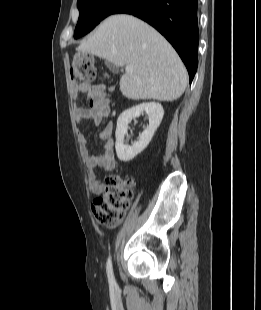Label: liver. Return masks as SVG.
<instances>
[{"mask_svg":"<svg viewBox=\"0 0 261 310\" xmlns=\"http://www.w3.org/2000/svg\"><path fill=\"white\" fill-rule=\"evenodd\" d=\"M104 58L117 66H131L120 78L128 99L174 101L188 84L180 57L153 27L131 15L105 19L76 49Z\"/></svg>","mask_w":261,"mask_h":310,"instance_id":"liver-1","label":"liver"}]
</instances>
